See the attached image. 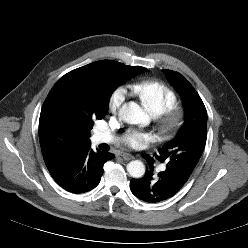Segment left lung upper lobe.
<instances>
[{"label": "left lung upper lobe", "mask_w": 248, "mask_h": 248, "mask_svg": "<svg viewBox=\"0 0 248 248\" xmlns=\"http://www.w3.org/2000/svg\"><path fill=\"white\" fill-rule=\"evenodd\" d=\"M180 93L185 108V122L178 135L164 144L156 158L168 160L166 171L183 186L202 155L207 138V111L193 86L178 72L163 70Z\"/></svg>", "instance_id": "5c2ea615"}]
</instances>
